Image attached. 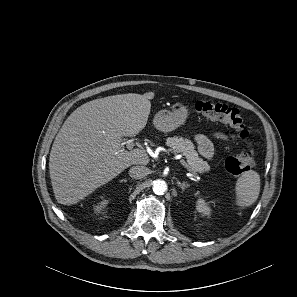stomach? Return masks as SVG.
I'll return each instance as SVG.
<instances>
[{
	"label": "stomach",
	"instance_id": "1",
	"mask_svg": "<svg viewBox=\"0 0 297 297\" xmlns=\"http://www.w3.org/2000/svg\"><path fill=\"white\" fill-rule=\"evenodd\" d=\"M189 115L188 107L183 103H175L171 110L159 111L153 120L155 128L162 132H170L183 125Z\"/></svg>",
	"mask_w": 297,
	"mask_h": 297
}]
</instances>
